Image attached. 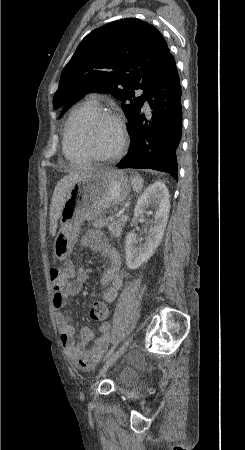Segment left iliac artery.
<instances>
[{
	"label": "left iliac artery",
	"mask_w": 245,
	"mask_h": 450,
	"mask_svg": "<svg viewBox=\"0 0 245 450\" xmlns=\"http://www.w3.org/2000/svg\"><path fill=\"white\" fill-rule=\"evenodd\" d=\"M117 347V344H115L114 346L111 347V349L108 351V353L106 354L105 358H108L109 356H111L115 350V348Z\"/></svg>",
	"instance_id": "left-iliac-artery-1"
}]
</instances>
